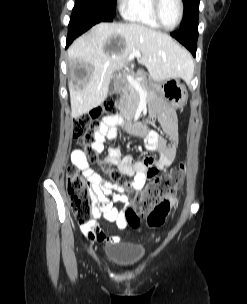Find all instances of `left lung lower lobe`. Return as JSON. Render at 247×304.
I'll use <instances>...</instances> for the list:
<instances>
[{
    "mask_svg": "<svg viewBox=\"0 0 247 304\" xmlns=\"http://www.w3.org/2000/svg\"><path fill=\"white\" fill-rule=\"evenodd\" d=\"M171 36L176 38L193 56L196 55V44L198 38V22H193L181 27L178 31L171 33Z\"/></svg>",
    "mask_w": 247,
    "mask_h": 304,
    "instance_id": "0a47b994",
    "label": "left lung lower lobe"
}]
</instances>
